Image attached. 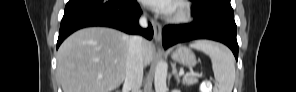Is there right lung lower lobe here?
<instances>
[{"label":"right lung lower lobe","instance_id":"98d812e1","mask_svg":"<svg viewBox=\"0 0 296 92\" xmlns=\"http://www.w3.org/2000/svg\"><path fill=\"white\" fill-rule=\"evenodd\" d=\"M141 15L135 0H69L61 21L57 48L74 31L90 26L112 27L129 34H141L148 39L153 28L142 29L138 25Z\"/></svg>","mask_w":296,"mask_h":92}]
</instances>
